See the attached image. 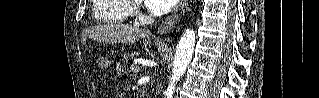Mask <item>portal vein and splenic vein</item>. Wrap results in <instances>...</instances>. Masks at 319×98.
Masks as SVG:
<instances>
[{
	"label": "portal vein and splenic vein",
	"instance_id": "obj_1",
	"mask_svg": "<svg viewBox=\"0 0 319 98\" xmlns=\"http://www.w3.org/2000/svg\"><path fill=\"white\" fill-rule=\"evenodd\" d=\"M130 69H131V71L133 72V73H138L139 72V67L138 66H136V65H132L131 67H130Z\"/></svg>",
	"mask_w": 319,
	"mask_h": 98
}]
</instances>
